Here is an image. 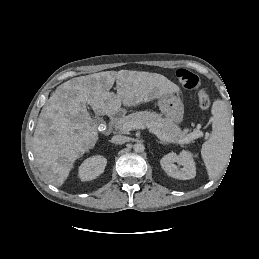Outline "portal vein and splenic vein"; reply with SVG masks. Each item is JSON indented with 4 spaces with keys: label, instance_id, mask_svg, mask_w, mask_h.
Masks as SVG:
<instances>
[{
    "label": "portal vein and splenic vein",
    "instance_id": "obj_1",
    "mask_svg": "<svg viewBox=\"0 0 259 259\" xmlns=\"http://www.w3.org/2000/svg\"><path fill=\"white\" fill-rule=\"evenodd\" d=\"M124 130L126 131H131L132 129H143L145 128L144 126L141 125L140 122H128L124 124L123 126ZM149 131L153 134H155L160 140L170 142V143H175L174 141H171L165 134L161 133L158 129L156 128H149ZM203 136L202 132H197V133H192L188 136V138L184 139L183 141H179L178 143L182 142H188L190 139H193L195 137H201Z\"/></svg>",
    "mask_w": 259,
    "mask_h": 259
}]
</instances>
